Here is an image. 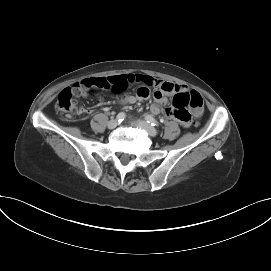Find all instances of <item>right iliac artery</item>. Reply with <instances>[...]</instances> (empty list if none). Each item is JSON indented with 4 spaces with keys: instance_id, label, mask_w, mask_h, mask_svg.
<instances>
[{
    "instance_id": "82829eb1",
    "label": "right iliac artery",
    "mask_w": 271,
    "mask_h": 271,
    "mask_svg": "<svg viewBox=\"0 0 271 271\" xmlns=\"http://www.w3.org/2000/svg\"><path fill=\"white\" fill-rule=\"evenodd\" d=\"M126 117V114L124 112H120L118 115H117V121L118 122H122Z\"/></svg>"
}]
</instances>
